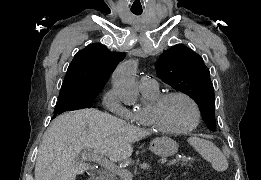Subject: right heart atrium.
Masks as SVG:
<instances>
[{"instance_id":"d8ad5b80","label":"right heart atrium","mask_w":261,"mask_h":180,"mask_svg":"<svg viewBox=\"0 0 261 180\" xmlns=\"http://www.w3.org/2000/svg\"><path fill=\"white\" fill-rule=\"evenodd\" d=\"M103 105L105 108H110L111 112L118 114V117H124V120H131V114L126 109L118 107V96L115 89L111 88L105 93L103 96Z\"/></svg>"}]
</instances>
